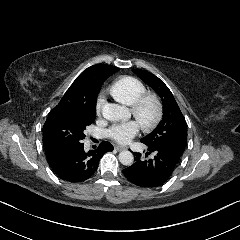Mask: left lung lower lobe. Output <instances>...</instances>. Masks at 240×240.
I'll return each instance as SVG.
<instances>
[{"instance_id": "0a47b994", "label": "left lung lower lobe", "mask_w": 240, "mask_h": 240, "mask_svg": "<svg viewBox=\"0 0 240 240\" xmlns=\"http://www.w3.org/2000/svg\"><path fill=\"white\" fill-rule=\"evenodd\" d=\"M153 153L152 159H141L140 153H134L135 163L123 169L125 177L134 185L154 188L163 185L172 175L181 156L159 147H148L145 156Z\"/></svg>"}]
</instances>
